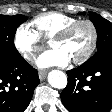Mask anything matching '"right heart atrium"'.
<instances>
[{"label": "right heart atrium", "mask_w": 112, "mask_h": 112, "mask_svg": "<svg viewBox=\"0 0 112 112\" xmlns=\"http://www.w3.org/2000/svg\"><path fill=\"white\" fill-rule=\"evenodd\" d=\"M13 42L26 61L33 60L45 46L41 37L29 24H21L16 28Z\"/></svg>", "instance_id": "right-heart-atrium-1"}]
</instances>
